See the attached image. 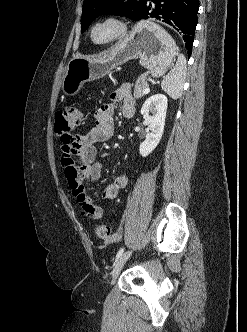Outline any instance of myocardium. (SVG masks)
I'll use <instances>...</instances> for the list:
<instances>
[{"mask_svg":"<svg viewBox=\"0 0 247 332\" xmlns=\"http://www.w3.org/2000/svg\"><path fill=\"white\" fill-rule=\"evenodd\" d=\"M105 24L113 25L116 29L115 34L109 39L104 41L95 40L94 32L96 28ZM127 32H128V23L126 22L125 19L116 15H108L98 19L91 25L89 29V38L96 45L106 46L121 40L127 34Z\"/></svg>","mask_w":247,"mask_h":332,"instance_id":"obj_1","label":"myocardium"}]
</instances>
